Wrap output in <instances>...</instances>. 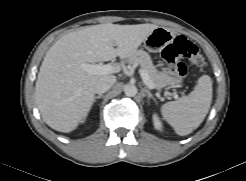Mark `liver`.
Instances as JSON below:
<instances>
[{"mask_svg":"<svg viewBox=\"0 0 246 181\" xmlns=\"http://www.w3.org/2000/svg\"><path fill=\"white\" fill-rule=\"evenodd\" d=\"M154 24L93 25L66 34L47 51L35 86V101L44 122L60 132H71L89 113L98 80L110 74H88L80 64L133 56L156 29ZM116 46V48H114ZM121 70L113 66V73Z\"/></svg>","mask_w":246,"mask_h":181,"instance_id":"obj_1","label":"liver"}]
</instances>
